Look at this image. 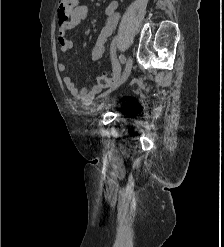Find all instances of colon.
<instances>
[{
    "label": "colon",
    "instance_id": "obj_1",
    "mask_svg": "<svg viewBox=\"0 0 224 247\" xmlns=\"http://www.w3.org/2000/svg\"><path fill=\"white\" fill-rule=\"evenodd\" d=\"M78 0H60L58 6V18L60 26H64L77 7ZM113 80L108 75H101L98 84L102 87H109Z\"/></svg>",
    "mask_w": 224,
    "mask_h": 247
}]
</instances>
